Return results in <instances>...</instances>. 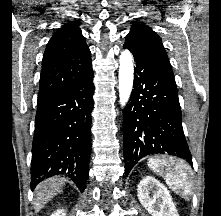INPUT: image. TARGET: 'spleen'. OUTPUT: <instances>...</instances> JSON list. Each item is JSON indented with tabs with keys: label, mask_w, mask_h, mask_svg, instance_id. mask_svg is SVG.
Here are the masks:
<instances>
[{
	"label": "spleen",
	"mask_w": 221,
	"mask_h": 216,
	"mask_svg": "<svg viewBox=\"0 0 221 216\" xmlns=\"http://www.w3.org/2000/svg\"><path fill=\"white\" fill-rule=\"evenodd\" d=\"M148 167L163 177L169 188L181 197L188 199L193 194L192 171L185 161L173 157H153L148 160Z\"/></svg>",
	"instance_id": "spleen-1"
}]
</instances>
